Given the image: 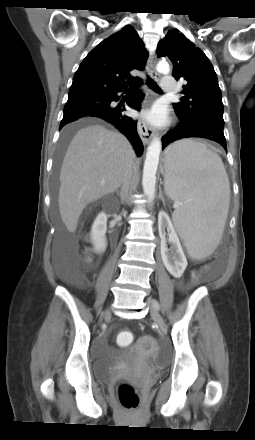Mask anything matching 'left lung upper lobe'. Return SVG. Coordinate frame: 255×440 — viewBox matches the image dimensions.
I'll list each match as a JSON object with an SVG mask.
<instances>
[{
	"mask_svg": "<svg viewBox=\"0 0 255 440\" xmlns=\"http://www.w3.org/2000/svg\"><path fill=\"white\" fill-rule=\"evenodd\" d=\"M158 57L168 56L173 77L184 78L181 102L174 103L179 117L186 120L211 119L224 123L222 94L217 75L204 52L177 29L168 31L158 43Z\"/></svg>",
	"mask_w": 255,
	"mask_h": 440,
	"instance_id": "5c2ea615",
	"label": "left lung upper lobe"
}]
</instances>
